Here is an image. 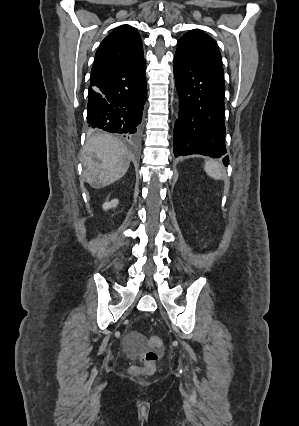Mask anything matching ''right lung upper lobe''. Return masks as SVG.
<instances>
[{"instance_id": "cb5924a9", "label": "right lung upper lobe", "mask_w": 299, "mask_h": 426, "mask_svg": "<svg viewBox=\"0 0 299 426\" xmlns=\"http://www.w3.org/2000/svg\"><path fill=\"white\" fill-rule=\"evenodd\" d=\"M142 60L143 46L139 33L129 25H122L102 41L91 73L136 64Z\"/></svg>"}]
</instances>
